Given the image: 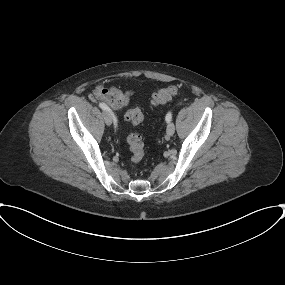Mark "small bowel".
I'll use <instances>...</instances> for the list:
<instances>
[{"mask_svg":"<svg viewBox=\"0 0 285 285\" xmlns=\"http://www.w3.org/2000/svg\"><path fill=\"white\" fill-rule=\"evenodd\" d=\"M132 94V90H121L115 86L104 85L96 86L93 91L95 98L105 102L110 108L115 111L123 109L128 104Z\"/></svg>","mask_w":285,"mask_h":285,"instance_id":"c3829d8e","label":"small bowel"}]
</instances>
